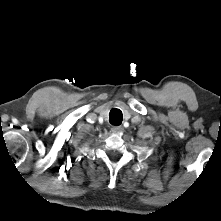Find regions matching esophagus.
Instances as JSON below:
<instances>
[{"label":"esophagus","mask_w":221,"mask_h":221,"mask_svg":"<svg viewBox=\"0 0 221 221\" xmlns=\"http://www.w3.org/2000/svg\"><path fill=\"white\" fill-rule=\"evenodd\" d=\"M123 130L124 129L121 126H114L111 128L112 133H115V134H120L123 132Z\"/></svg>","instance_id":"obj_1"}]
</instances>
